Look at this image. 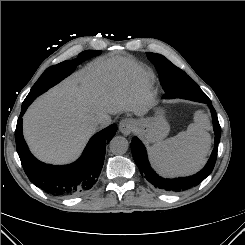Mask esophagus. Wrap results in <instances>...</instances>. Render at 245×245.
Here are the masks:
<instances>
[{"mask_svg": "<svg viewBox=\"0 0 245 245\" xmlns=\"http://www.w3.org/2000/svg\"><path fill=\"white\" fill-rule=\"evenodd\" d=\"M136 123L130 118H124L119 123V130L124 135H129L135 129Z\"/></svg>", "mask_w": 245, "mask_h": 245, "instance_id": "esophagus-1", "label": "esophagus"}]
</instances>
